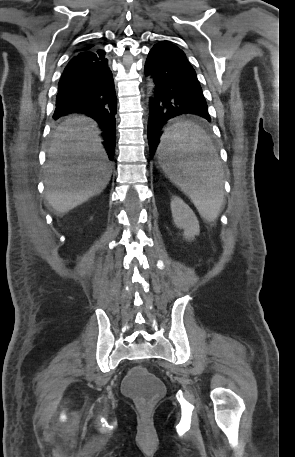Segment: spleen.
<instances>
[{
  "instance_id": "1",
  "label": "spleen",
  "mask_w": 295,
  "mask_h": 457,
  "mask_svg": "<svg viewBox=\"0 0 295 457\" xmlns=\"http://www.w3.org/2000/svg\"><path fill=\"white\" fill-rule=\"evenodd\" d=\"M208 135L198 125L182 121L165 129L158 159L169 177L189 196L201 217L216 220L224 200L223 176L219 163L199 160L197 152H211Z\"/></svg>"
}]
</instances>
